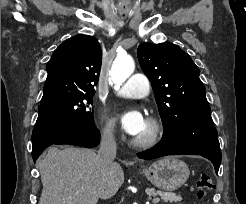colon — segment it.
Here are the masks:
<instances>
[{
	"mask_svg": "<svg viewBox=\"0 0 246 204\" xmlns=\"http://www.w3.org/2000/svg\"><path fill=\"white\" fill-rule=\"evenodd\" d=\"M197 196L199 199H203L207 193L214 190L215 185L212 178L207 174H202L196 182Z\"/></svg>",
	"mask_w": 246,
	"mask_h": 204,
	"instance_id": "5ec220e1",
	"label": "colon"
}]
</instances>
